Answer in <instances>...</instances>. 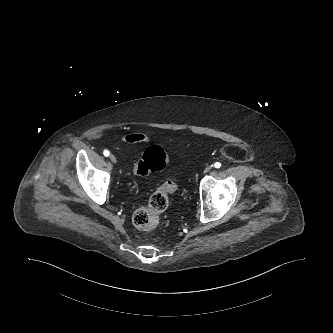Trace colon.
Here are the masks:
<instances>
[{
    "label": "colon",
    "mask_w": 333,
    "mask_h": 333,
    "mask_svg": "<svg viewBox=\"0 0 333 333\" xmlns=\"http://www.w3.org/2000/svg\"><path fill=\"white\" fill-rule=\"evenodd\" d=\"M167 155L163 148L157 145L146 149L143 156L134 163V172L138 176H146L152 172L162 170L167 165ZM177 191V184L171 180L163 183L149 198L146 206L138 208L133 214L134 225L141 230L154 229L160 215L168 207V197Z\"/></svg>",
    "instance_id": "5ec220e1"
}]
</instances>
